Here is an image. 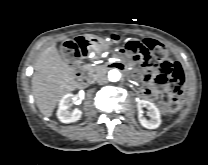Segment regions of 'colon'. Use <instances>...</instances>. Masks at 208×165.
Returning <instances> with one entry per match:
<instances>
[{"label": "colon", "mask_w": 208, "mask_h": 165, "mask_svg": "<svg viewBox=\"0 0 208 165\" xmlns=\"http://www.w3.org/2000/svg\"><path fill=\"white\" fill-rule=\"evenodd\" d=\"M111 40L117 43L119 37L117 35H112ZM82 49L83 43L69 41L64 45V52L67 55L77 56ZM124 51L133 61L139 63L143 68L153 66L154 61L159 62L161 57L166 56V48L162 44L151 39L128 41L124 46ZM183 82L178 87H171L172 95L166 101L162 102V109L165 112H174L179 108V96L182 93Z\"/></svg>", "instance_id": "5ec220e1"}]
</instances>
